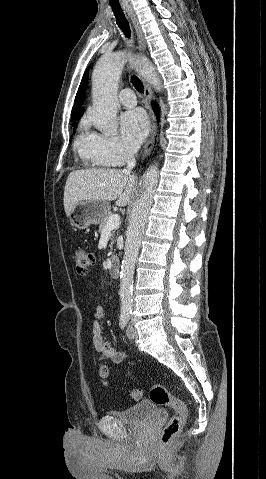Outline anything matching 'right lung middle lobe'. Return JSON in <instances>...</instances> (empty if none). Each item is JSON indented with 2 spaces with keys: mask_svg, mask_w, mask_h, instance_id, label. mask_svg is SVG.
I'll use <instances>...</instances> for the list:
<instances>
[{
  "mask_svg": "<svg viewBox=\"0 0 266 479\" xmlns=\"http://www.w3.org/2000/svg\"><path fill=\"white\" fill-rule=\"evenodd\" d=\"M72 121H76V120H72ZM76 125H77V124L74 122V123H73V126L76 127Z\"/></svg>",
  "mask_w": 266,
  "mask_h": 479,
  "instance_id": "1",
  "label": "right lung middle lobe"
}]
</instances>
